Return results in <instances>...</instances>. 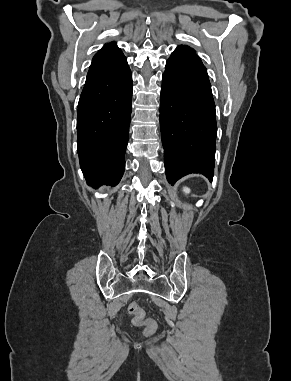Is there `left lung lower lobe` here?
I'll list each match as a JSON object with an SVG mask.
<instances>
[{
  "label": "left lung lower lobe",
  "mask_w": 291,
  "mask_h": 381,
  "mask_svg": "<svg viewBox=\"0 0 291 381\" xmlns=\"http://www.w3.org/2000/svg\"><path fill=\"white\" fill-rule=\"evenodd\" d=\"M160 128L168 182L189 173L212 181L217 126L211 84L200 58L179 47L162 78Z\"/></svg>",
  "instance_id": "1"
}]
</instances>
